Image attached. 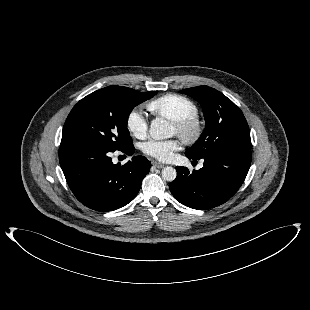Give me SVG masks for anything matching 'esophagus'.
Instances as JSON below:
<instances>
[{
  "mask_svg": "<svg viewBox=\"0 0 310 310\" xmlns=\"http://www.w3.org/2000/svg\"><path fill=\"white\" fill-rule=\"evenodd\" d=\"M152 164H153V166H154L155 168H158V169H161V168L164 167L163 164H161V163H159V162H157V161L152 162Z\"/></svg>",
  "mask_w": 310,
  "mask_h": 310,
  "instance_id": "34e87169",
  "label": "esophagus"
}]
</instances>
